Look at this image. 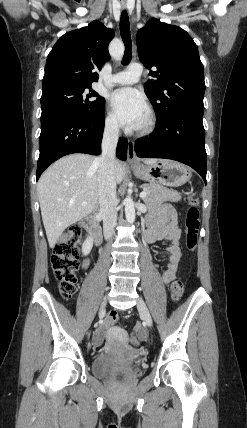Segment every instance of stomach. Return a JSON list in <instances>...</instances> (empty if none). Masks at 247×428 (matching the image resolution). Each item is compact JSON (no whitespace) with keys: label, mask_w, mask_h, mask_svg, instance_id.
<instances>
[{"label":"stomach","mask_w":247,"mask_h":428,"mask_svg":"<svg viewBox=\"0 0 247 428\" xmlns=\"http://www.w3.org/2000/svg\"><path fill=\"white\" fill-rule=\"evenodd\" d=\"M135 175L153 184L179 187L192 176L191 169L179 162L160 160L151 165L140 164L133 168Z\"/></svg>","instance_id":"obj_1"}]
</instances>
